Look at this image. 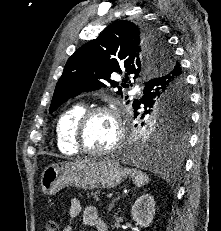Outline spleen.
Masks as SVG:
<instances>
[{
    "label": "spleen",
    "instance_id": "1",
    "mask_svg": "<svg viewBox=\"0 0 221 231\" xmlns=\"http://www.w3.org/2000/svg\"><path fill=\"white\" fill-rule=\"evenodd\" d=\"M125 171L134 179L136 186L141 187L149 183V176L134 168H125Z\"/></svg>",
    "mask_w": 221,
    "mask_h": 231
}]
</instances>
